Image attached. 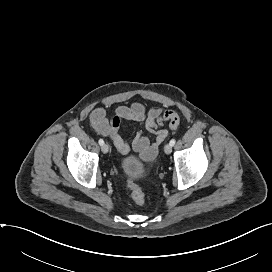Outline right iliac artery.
<instances>
[{
    "mask_svg": "<svg viewBox=\"0 0 272 272\" xmlns=\"http://www.w3.org/2000/svg\"><path fill=\"white\" fill-rule=\"evenodd\" d=\"M99 144L102 146L103 144H104V141H103V139H99Z\"/></svg>",
    "mask_w": 272,
    "mask_h": 272,
    "instance_id": "82829eb1",
    "label": "right iliac artery"
}]
</instances>
